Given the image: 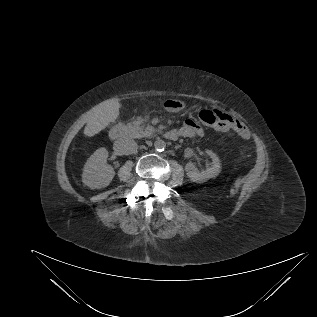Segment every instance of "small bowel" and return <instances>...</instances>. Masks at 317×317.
Instances as JSON below:
<instances>
[{
	"instance_id": "obj_1",
	"label": "small bowel",
	"mask_w": 317,
	"mask_h": 317,
	"mask_svg": "<svg viewBox=\"0 0 317 317\" xmlns=\"http://www.w3.org/2000/svg\"><path fill=\"white\" fill-rule=\"evenodd\" d=\"M165 106L168 108V110L173 112H177L183 109V105L181 103L173 100L167 101L165 103ZM218 112L220 113V123L216 125L217 130L228 131L232 129L243 138H247L249 136V132L243 122H241L239 119L231 117L229 114L225 112ZM176 133L177 138L180 136L195 138L198 136H202L204 131L202 127L199 126L196 122L192 120H186L183 127L176 131Z\"/></svg>"
}]
</instances>
